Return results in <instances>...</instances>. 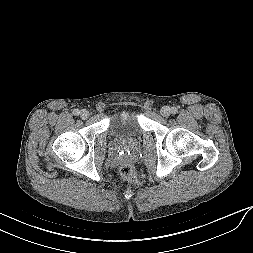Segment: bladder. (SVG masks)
Instances as JSON below:
<instances>
[{
	"mask_svg": "<svg viewBox=\"0 0 253 253\" xmlns=\"http://www.w3.org/2000/svg\"><path fill=\"white\" fill-rule=\"evenodd\" d=\"M108 131L117 139L137 137L142 131L140 111L126 107L114 112L109 118Z\"/></svg>",
	"mask_w": 253,
	"mask_h": 253,
	"instance_id": "31cf9c89",
	"label": "bladder"
}]
</instances>
